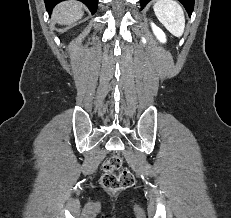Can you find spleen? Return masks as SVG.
<instances>
[{
  "instance_id": "obj_1",
  "label": "spleen",
  "mask_w": 231,
  "mask_h": 218,
  "mask_svg": "<svg viewBox=\"0 0 231 218\" xmlns=\"http://www.w3.org/2000/svg\"><path fill=\"white\" fill-rule=\"evenodd\" d=\"M155 15L166 29L180 37L185 29V17L182 7L175 0H157L153 6Z\"/></svg>"
}]
</instances>
